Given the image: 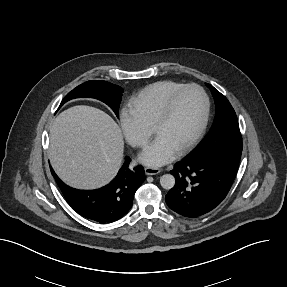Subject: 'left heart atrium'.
Instances as JSON below:
<instances>
[{"mask_svg":"<svg viewBox=\"0 0 287 287\" xmlns=\"http://www.w3.org/2000/svg\"><path fill=\"white\" fill-rule=\"evenodd\" d=\"M177 149L162 137H156L140 154V160L149 166H160L171 161Z\"/></svg>","mask_w":287,"mask_h":287,"instance_id":"1","label":"left heart atrium"}]
</instances>
